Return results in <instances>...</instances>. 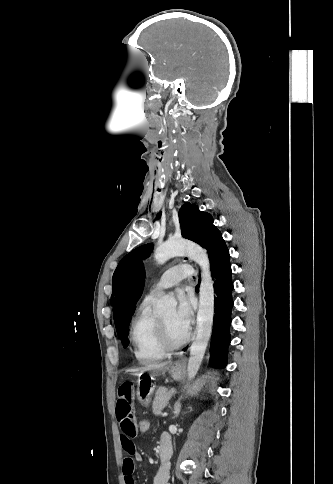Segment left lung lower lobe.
<instances>
[{
  "label": "left lung lower lobe",
  "instance_id": "1",
  "mask_svg": "<svg viewBox=\"0 0 333 484\" xmlns=\"http://www.w3.org/2000/svg\"><path fill=\"white\" fill-rule=\"evenodd\" d=\"M202 247L208 251L210 269L214 279V320L211 337L210 361L212 367L224 368L227 362V348L230 344L229 327L233 306L231 267L229 250L220 231L213 221L206 226Z\"/></svg>",
  "mask_w": 333,
  "mask_h": 484
}]
</instances>
